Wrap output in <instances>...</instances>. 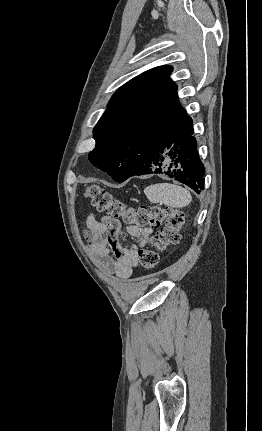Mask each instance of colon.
I'll return each instance as SVG.
<instances>
[{"label":"colon","instance_id":"5ec220e1","mask_svg":"<svg viewBox=\"0 0 262 431\" xmlns=\"http://www.w3.org/2000/svg\"><path fill=\"white\" fill-rule=\"evenodd\" d=\"M86 197L98 212L113 218H120L126 225L136 227H159L152 239V247L140 250L139 265L145 270L154 269L159 254L170 245L177 244L180 228L183 224V212L173 208H127L123 202L114 198L109 192L98 185H89L85 190Z\"/></svg>","mask_w":262,"mask_h":431}]
</instances>
